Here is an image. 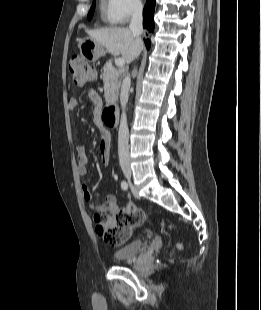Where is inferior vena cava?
<instances>
[{
  "mask_svg": "<svg viewBox=\"0 0 261 310\" xmlns=\"http://www.w3.org/2000/svg\"><path fill=\"white\" fill-rule=\"evenodd\" d=\"M143 6L140 2L135 3L132 12V19L129 25V29L133 36L138 40L143 32V17H142ZM131 84L130 76L127 75L122 84L120 93V103L122 106V116L118 132V155L121 167L130 166V155H129V129L127 125V118L125 113V107L129 98V87Z\"/></svg>",
  "mask_w": 261,
  "mask_h": 310,
  "instance_id": "602c4592",
  "label": "inferior vena cava"
}]
</instances>
